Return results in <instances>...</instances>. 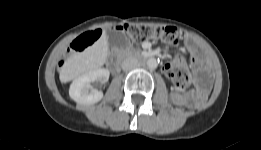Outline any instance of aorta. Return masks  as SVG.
I'll use <instances>...</instances> for the list:
<instances>
[{"label":"aorta","instance_id":"1","mask_svg":"<svg viewBox=\"0 0 261 150\" xmlns=\"http://www.w3.org/2000/svg\"><path fill=\"white\" fill-rule=\"evenodd\" d=\"M147 67L149 69H156L158 67V61L155 58H149L147 60Z\"/></svg>","mask_w":261,"mask_h":150}]
</instances>
